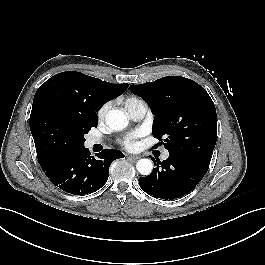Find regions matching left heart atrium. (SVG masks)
<instances>
[{
	"label": "left heart atrium",
	"instance_id": "left-heart-atrium-1",
	"mask_svg": "<svg viewBox=\"0 0 265 265\" xmlns=\"http://www.w3.org/2000/svg\"><path fill=\"white\" fill-rule=\"evenodd\" d=\"M140 136L139 132H135L132 133L128 136H126L123 141L122 144L124 145L125 148L127 149H133L136 146V139Z\"/></svg>",
	"mask_w": 265,
	"mask_h": 265
}]
</instances>
